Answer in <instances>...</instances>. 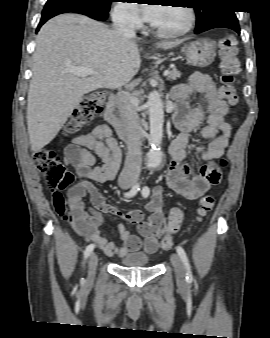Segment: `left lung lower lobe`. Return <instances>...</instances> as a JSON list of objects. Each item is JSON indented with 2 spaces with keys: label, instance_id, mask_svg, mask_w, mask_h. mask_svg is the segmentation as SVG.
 Masks as SVG:
<instances>
[{
  "label": "left lung lower lobe",
  "instance_id": "left-lung-lower-lobe-1",
  "mask_svg": "<svg viewBox=\"0 0 270 338\" xmlns=\"http://www.w3.org/2000/svg\"><path fill=\"white\" fill-rule=\"evenodd\" d=\"M219 27L229 28V29L235 30L238 34H240L239 23H238V19L236 18L235 14L226 15L225 17L212 22L206 29L202 31H205L211 28H219ZM200 32L195 31V33H200Z\"/></svg>",
  "mask_w": 270,
  "mask_h": 338
}]
</instances>
